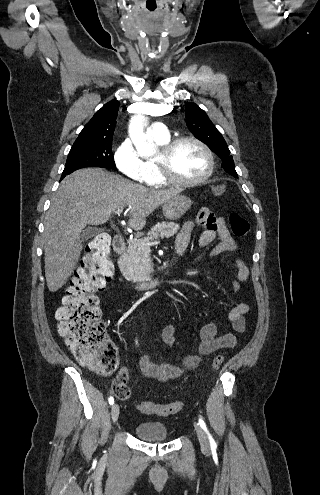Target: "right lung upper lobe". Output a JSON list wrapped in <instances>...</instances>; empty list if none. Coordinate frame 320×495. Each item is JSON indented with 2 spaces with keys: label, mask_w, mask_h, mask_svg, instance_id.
Here are the masks:
<instances>
[{
  "label": "right lung upper lobe",
  "mask_w": 320,
  "mask_h": 495,
  "mask_svg": "<svg viewBox=\"0 0 320 495\" xmlns=\"http://www.w3.org/2000/svg\"><path fill=\"white\" fill-rule=\"evenodd\" d=\"M119 102L112 100L100 108L84 126L74 144H112Z\"/></svg>",
  "instance_id": "right-lung-upper-lobe-1"
}]
</instances>
